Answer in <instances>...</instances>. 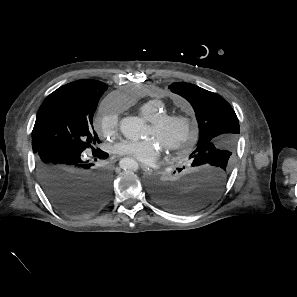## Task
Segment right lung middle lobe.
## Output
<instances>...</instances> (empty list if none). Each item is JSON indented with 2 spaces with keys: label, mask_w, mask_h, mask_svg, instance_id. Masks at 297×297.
I'll return each instance as SVG.
<instances>
[{
  "label": "right lung middle lobe",
  "mask_w": 297,
  "mask_h": 297,
  "mask_svg": "<svg viewBox=\"0 0 297 297\" xmlns=\"http://www.w3.org/2000/svg\"><path fill=\"white\" fill-rule=\"evenodd\" d=\"M102 95L64 94L47 103L37 114L32 148L37 152L50 146H65L76 152L92 148L99 138L92 125Z\"/></svg>",
  "instance_id": "dd1d6c3e"
}]
</instances>
